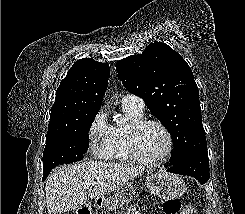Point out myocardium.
Wrapping results in <instances>:
<instances>
[{
  "label": "myocardium",
  "instance_id": "f54148a6",
  "mask_svg": "<svg viewBox=\"0 0 245 214\" xmlns=\"http://www.w3.org/2000/svg\"><path fill=\"white\" fill-rule=\"evenodd\" d=\"M157 126L160 128L166 138H167V147L165 151L157 158L150 159L145 157L139 150L137 144V137L141 130H143L147 126ZM126 142L128 146V150L132 158L144 165H156L162 161H164L173 151L174 141L173 136L170 130L161 122L157 120L151 119H141L135 122H131L126 129Z\"/></svg>",
  "mask_w": 245,
  "mask_h": 214
}]
</instances>
